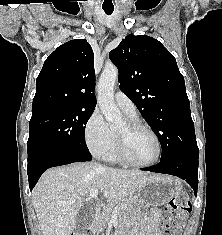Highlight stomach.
Instances as JSON below:
<instances>
[{
  "mask_svg": "<svg viewBox=\"0 0 222 235\" xmlns=\"http://www.w3.org/2000/svg\"><path fill=\"white\" fill-rule=\"evenodd\" d=\"M181 190L178 179L169 176H159L149 181L135 196L130 199L134 207L160 206L175 197Z\"/></svg>",
  "mask_w": 222,
  "mask_h": 235,
  "instance_id": "1",
  "label": "stomach"
}]
</instances>
